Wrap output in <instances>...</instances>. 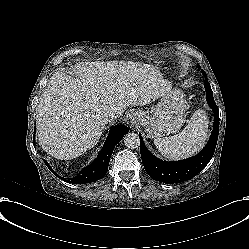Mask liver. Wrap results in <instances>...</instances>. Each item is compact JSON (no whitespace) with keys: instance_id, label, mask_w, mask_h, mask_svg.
<instances>
[{"instance_id":"6515ba94","label":"liver","mask_w":249,"mask_h":249,"mask_svg":"<svg viewBox=\"0 0 249 249\" xmlns=\"http://www.w3.org/2000/svg\"><path fill=\"white\" fill-rule=\"evenodd\" d=\"M169 91L159 71L126 62H83L52 78L38 104L36 133L51 156L71 160L98 142L108 112L145 106Z\"/></svg>"}]
</instances>
